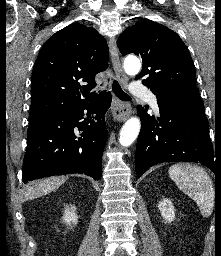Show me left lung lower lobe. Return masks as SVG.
Wrapping results in <instances>:
<instances>
[{"label": "left lung lower lobe", "mask_w": 221, "mask_h": 256, "mask_svg": "<svg viewBox=\"0 0 221 256\" xmlns=\"http://www.w3.org/2000/svg\"><path fill=\"white\" fill-rule=\"evenodd\" d=\"M157 103L161 115L157 120L137 108L142 121L135 156L137 177L157 163L178 161L201 163L217 173L203 103L161 97Z\"/></svg>", "instance_id": "obj_1"}]
</instances>
